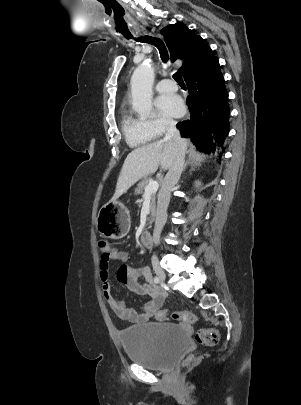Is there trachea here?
Here are the masks:
<instances>
[{
	"label": "trachea",
	"mask_w": 301,
	"mask_h": 405,
	"mask_svg": "<svg viewBox=\"0 0 301 405\" xmlns=\"http://www.w3.org/2000/svg\"><path fill=\"white\" fill-rule=\"evenodd\" d=\"M135 40L137 42L149 43L151 45H154L159 50V53H160V56H161V59L163 60V62L166 63L168 61L169 57H168L167 48H166L164 42L160 38L153 37L150 35H145L140 38H136ZM173 78L180 86H185L183 78L179 72L174 73Z\"/></svg>",
	"instance_id": "obj_1"
}]
</instances>
